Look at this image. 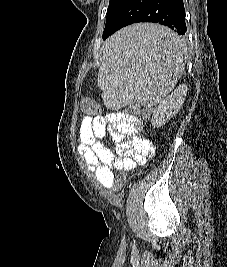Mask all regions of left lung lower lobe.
<instances>
[{"label":"left lung lower lobe","instance_id":"left-lung-lower-lobe-1","mask_svg":"<svg viewBox=\"0 0 227 267\" xmlns=\"http://www.w3.org/2000/svg\"><path fill=\"white\" fill-rule=\"evenodd\" d=\"M138 22L165 25L179 35L187 33L183 0H128L116 13L106 20L103 40L119 29ZM166 45L164 39L141 37L132 43L134 50L150 49Z\"/></svg>","mask_w":227,"mask_h":267}]
</instances>
